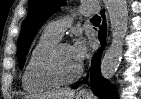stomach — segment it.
<instances>
[{
    "mask_svg": "<svg viewBox=\"0 0 141 99\" xmlns=\"http://www.w3.org/2000/svg\"><path fill=\"white\" fill-rule=\"evenodd\" d=\"M37 99V98H36ZM76 99H87L86 97L77 96Z\"/></svg>",
    "mask_w": 141,
    "mask_h": 99,
    "instance_id": "stomach-1",
    "label": "stomach"
}]
</instances>
